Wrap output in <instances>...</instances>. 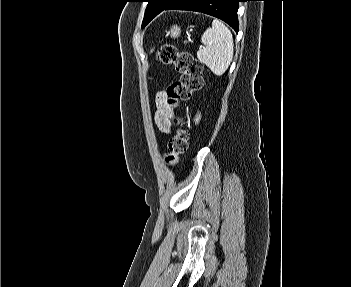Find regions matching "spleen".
<instances>
[{
	"label": "spleen",
	"instance_id": "1",
	"mask_svg": "<svg viewBox=\"0 0 351 287\" xmlns=\"http://www.w3.org/2000/svg\"><path fill=\"white\" fill-rule=\"evenodd\" d=\"M205 47L197 52V58L217 76H221L228 69L234 53L231 31L218 19H214L201 37Z\"/></svg>",
	"mask_w": 351,
	"mask_h": 287
}]
</instances>
